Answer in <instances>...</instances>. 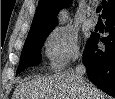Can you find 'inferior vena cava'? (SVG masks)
<instances>
[{
    "instance_id": "1",
    "label": "inferior vena cava",
    "mask_w": 115,
    "mask_h": 99,
    "mask_svg": "<svg viewBox=\"0 0 115 99\" xmlns=\"http://www.w3.org/2000/svg\"><path fill=\"white\" fill-rule=\"evenodd\" d=\"M85 73H86V68L83 63H80L79 65L76 66L75 75H76L78 84L80 86V90L82 91V94L84 96L82 98L89 99L90 97L87 94V89L85 86V78H84Z\"/></svg>"
}]
</instances>
